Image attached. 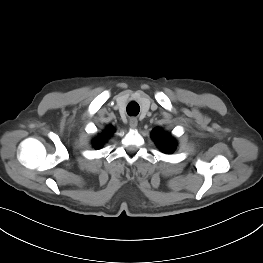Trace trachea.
I'll list each match as a JSON object with an SVG mask.
<instances>
[{
  "label": "trachea",
  "mask_w": 263,
  "mask_h": 263,
  "mask_svg": "<svg viewBox=\"0 0 263 263\" xmlns=\"http://www.w3.org/2000/svg\"><path fill=\"white\" fill-rule=\"evenodd\" d=\"M127 114L129 116H136L138 115L139 111H140V107L138 105V103L132 101L127 105Z\"/></svg>",
  "instance_id": "1"
}]
</instances>
